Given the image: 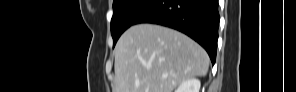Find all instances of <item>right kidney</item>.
<instances>
[{
	"instance_id": "1",
	"label": "right kidney",
	"mask_w": 296,
	"mask_h": 92,
	"mask_svg": "<svg viewBox=\"0 0 296 92\" xmlns=\"http://www.w3.org/2000/svg\"><path fill=\"white\" fill-rule=\"evenodd\" d=\"M200 80L196 78H189L183 81L175 92H199L200 90Z\"/></svg>"
}]
</instances>
